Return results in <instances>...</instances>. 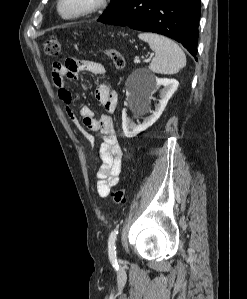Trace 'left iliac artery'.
Returning <instances> with one entry per match:
<instances>
[{
	"label": "left iliac artery",
	"instance_id": "obj_1",
	"mask_svg": "<svg viewBox=\"0 0 247 299\" xmlns=\"http://www.w3.org/2000/svg\"><path fill=\"white\" fill-rule=\"evenodd\" d=\"M119 229L116 228L114 229L108 239V253H109V258L112 261V263H115L117 265V257H116V247H115V241L117 238Z\"/></svg>",
	"mask_w": 247,
	"mask_h": 299
}]
</instances>
